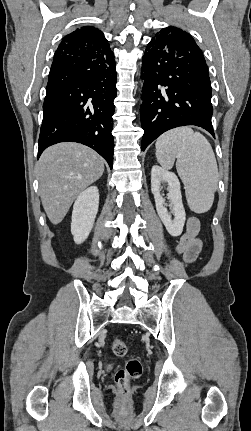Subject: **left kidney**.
Masks as SVG:
<instances>
[{
  "label": "left kidney",
  "instance_id": "1",
  "mask_svg": "<svg viewBox=\"0 0 251 431\" xmlns=\"http://www.w3.org/2000/svg\"><path fill=\"white\" fill-rule=\"evenodd\" d=\"M162 182L168 184V196L172 205L174 219L171 218V214L164 206V199L160 194ZM151 191L154 195L157 213L168 233L173 237L181 235L186 220V214L182 203L181 187L178 177L173 172H169L158 165H154L151 169Z\"/></svg>",
  "mask_w": 251,
  "mask_h": 431
}]
</instances>
